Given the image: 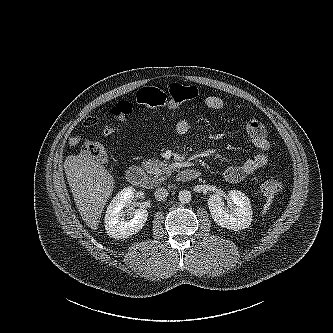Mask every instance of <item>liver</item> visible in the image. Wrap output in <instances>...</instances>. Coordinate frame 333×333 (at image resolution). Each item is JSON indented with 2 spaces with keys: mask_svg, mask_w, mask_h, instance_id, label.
I'll list each match as a JSON object with an SVG mask.
<instances>
[{
  "mask_svg": "<svg viewBox=\"0 0 333 333\" xmlns=\"http://www.w3.org/2000/svg\"><path fill=\"white\" fill-rule=\"evenodd\" d=\"M64 169L82 219L92 230H97L102 211L114 188L113 176L86 152L66 157Z\"/></svg>",
  "mask_w": 333,
  "mask_h": 333,
  "instance_id": "obj_1",
  "label": "liver"
}]
</instances>
